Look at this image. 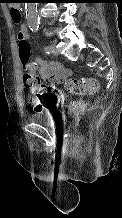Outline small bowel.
Masks as SVG:
<instances>
[{
	"instance_id": "obj_1",
	"label": "small bowel",
	"mask_w": 122,
	"mask_h": 218,
	"mask_svg": "<svg viewBox=\"0 0 122 218\" xmlns=\"http://www.w3.org/2000/svg\"><path fill=\"white\" fill-rule=\"evenodd\" d=\"M20 28L27 32L25 25ZM32 63L36 66L35 70L38 72L39 78L45 84H64L71 76V71L63 68L56 61L35 58Z\"/></svg>"
}]
</instances>
